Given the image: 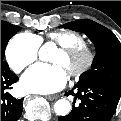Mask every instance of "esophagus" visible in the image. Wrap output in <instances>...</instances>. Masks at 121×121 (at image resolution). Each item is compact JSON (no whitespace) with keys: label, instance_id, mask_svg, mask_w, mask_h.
<instances>
[{"label":"esophagus","instance_id":"obj_1","mask_svg":"<svg viewBox=\"0 0 121 121\" xmlns=\"http://www.w3.org/2000/svg\"><path fill=\"white\" fill-rule=\"evenodd\" d=\"M59 97V95H47L46 96V99H48V100H55V99H57Z\"/></svg>","mask_w":121,"mask_h":121}]
</instances>
